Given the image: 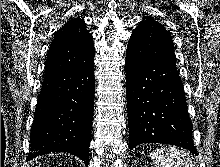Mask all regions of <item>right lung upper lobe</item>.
<instances>
[{"label":"right lung upper lobe","mask_w":220,"mask_h":167,"mask_svg":"<svg viewBox=\"0 0 220 167\" xmlns=\"http://www.w3.org/2000/svg\"><path fill=\"white\" fill-rule=\"evenodd\" d=\"M94 63L92 35L81 18H73L57 31L46 60L45 77L83 69Z\"/></svg>","instance_id":"1"}]
</instances>
